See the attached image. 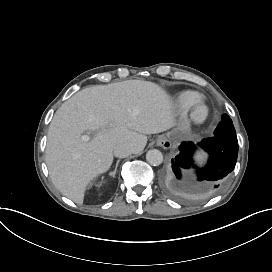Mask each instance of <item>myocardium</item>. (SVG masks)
I'll return each mask as SVG.
<instances>
[{
  "mask_svg": "<svg viewBox=\"0 0 272 272\" xmlns=\"http://www.w3.org/2000/svg\"><path fill=\"white\" fill-rule=\"evenodd\" d=\"M204 100L202 96L198 95L195 98L188 100L182 104V119L190 127H200L206 124L211 119V111L206 108V116L202 120H196L192 116V109L199 105L203 104Z\"/></svg>",
  "mask_w": 272,
  "mask_h": 272,
  "instance_id": "f54148a6",
  "label": "myocardium"
}]
</instances>
